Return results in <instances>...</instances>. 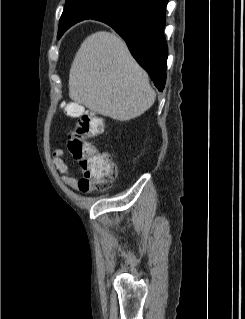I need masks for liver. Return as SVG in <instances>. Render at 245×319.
<instances>
[{"label": "liver", "mask_w": 245, "mask_h": 319, "mask_svg": "<svg viewBox=\"0 0 245 319\" xmlns=\"http://www.w3.org/2000/svg\"><path fill=\"white\" fill-rule=\"evenodd\" d=\"M69 97L97 114L128 121L147 111L156 93L125 42L113 33L99 31L89 35L75 55Z\"/></svg>", "instance_id": "liver-1"}]
</instances>
